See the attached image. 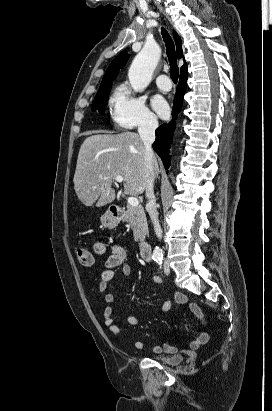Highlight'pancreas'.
<instances>
[{
  "label": "pancreas",
  "instance_id": "cf45deb5",
  "mask_svg": "<svg viewBox=\"0 0 272 411\" xmlns=\"http://www.w3.org/2000/svg\"><path fill=\"white\" fill-rule=\"evenodd\" d=\"M123 221L127 222L131 227L134 235V240L139 241L145 238L148 233L147 219L142 206H127Z\"/></svg>",
  "mask_w": 272,
  "mask_h": 411
}]
</instances>
